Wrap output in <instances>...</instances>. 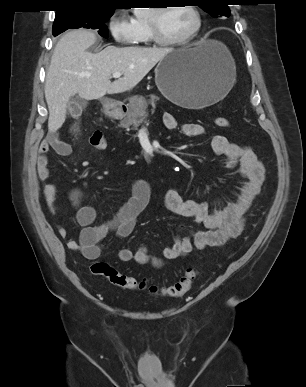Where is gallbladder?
Wrapping results in <instances>:
<instances>
[{"label":"gallbladder","mask_w":306,"mask_h":387,"mask_svg":"<svg viewBox=\"0 0 306 387\" xmlns=\"http://www.w3.org/2000/svg\"><path fill=\"white\" fill-rule=\"evenodd\" d=\"M86 101L78 96L71 97L67 103V108L71 111L78 108L80 105H85Z\"/></svg>","instance_id":"bac80fb5"}]
</instances>
